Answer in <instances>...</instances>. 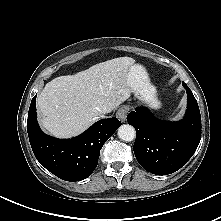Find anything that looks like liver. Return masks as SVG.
<instances>
[{
  "mask_svg": "<svg viewBox=\"0 0 221 221\" xmlns=\"http://www.w3.org/2000/svg\"><path fill=\"white\" fill-rule=\"evenodd\" d=\"M134 63L133 58L119 57L48 82L37 97L42 127L58 138L84 132L100 115L111 112L134 93L128 81ZM140 93L149 97L151 91Z\"/></svg>",
  "mask_w": 221,
  "mask_h": 221,
  "instance_id": "6515ba94",
  "label": "liver"
}]
</instances>
